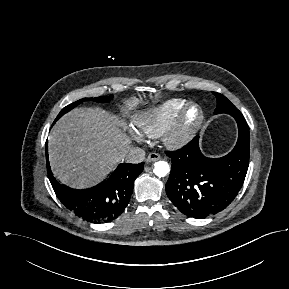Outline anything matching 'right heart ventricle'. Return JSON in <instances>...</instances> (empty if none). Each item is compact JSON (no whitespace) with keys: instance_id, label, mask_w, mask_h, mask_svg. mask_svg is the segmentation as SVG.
<instances>
[{"instance_id":"obj_1","label":"right heart ventricle","mask_w":289,"mask_h":289,"mask_svg":"<svg viewBox=\"0 0 289 289\" xmlns=\"http://www.w3.org/2000/svg\"><path fill=\"white\" fill-rule=\"evenodd\" d=\"M186 100L181 98L169 99L136 118L139 131L152 138L160 137L166 133L176 121Z\"/></svg>"}]
</instances>
